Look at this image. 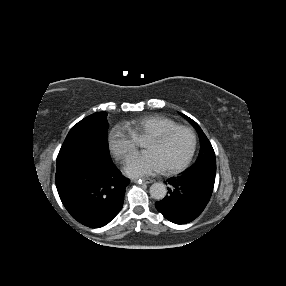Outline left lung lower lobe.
<instances>
[{"instance_id":"0a47b994","label":"left lung lower lobe","mask_w":286,"mask_h":286,"mask_svg":"<svg viewBox=\"0 0 286 286\" xmlns=\"http://www.w3.org/2000/svg\"><path fill=\"white\" fill-rule=\"evenodd\" d=\"M216 162L191 167L177 177L170 178L168 194L155 203L157 210L169 221L185 224L197 218L212 195Z\"/></svg>"}]
</instances>
